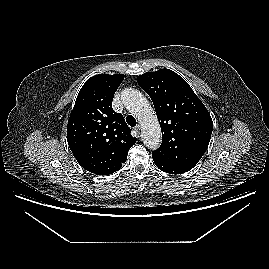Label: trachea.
I'll use <instances>...</instances> for the list:
<instances>
[{
  "label": "trachea",
  "instance_id": "3493384b",
  "mask_svg": "<svg viewBox=\"0 0 269 269\" xmlns=\"http://www.w3.org/2000/svg\"><path fill=\"white\" fill-rule=\"evenodd\" d=\"M126 122L128 123V125H130L131 127H134L136 125V119L132 116V115H128L126 117Z\"/></svg>",
  "mask_w": 269,
  "mask_h": 269
}]
</instances>
